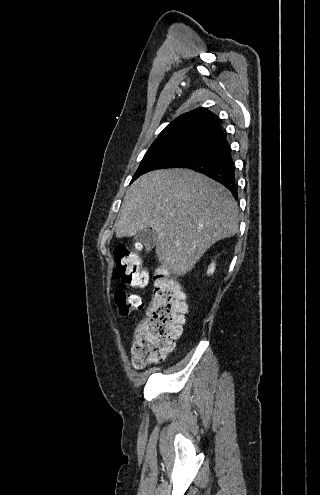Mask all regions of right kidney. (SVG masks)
<instances>
[{
    "label": "right kidney",
    "instance_id": "ca27d5eb",
    "mask_svg": "<svg viewBox=\"0 0 320 495\" xmlns=\"http://www.w3.org/2000/svg\"><path fill=\"white\" fill-rule=\"evenodd\" d=\"M214 271H215V263H214V262H212V263L210 264V266L208 267L207 274H208V275H212V274L214 273Z\"/></svg>",
    "mask_w": 320,
    "mask_h": 495
}]
</instances>
